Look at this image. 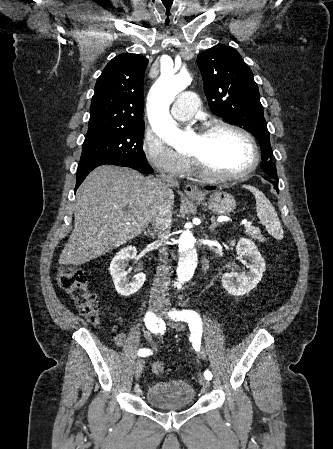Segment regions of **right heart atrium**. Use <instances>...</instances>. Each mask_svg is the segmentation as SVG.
I'll return each instance as SVG.
<instances>
[{
	"label": "right heart atrium",
	"mask_w": 333,
	"mask_h": 449,
	"mask_svg": "<svg viewBox=\"0 0 333 449\" xmlns=\"http://www.w3.org/2000/svg\"><path fill=\"white\" fill-rule=\"evenodd\" d=\"M142 151L146 160L165 175L182 177L190 168V160L187 156L174 150L152 132L144 135Z\"/></svg>",
	"instance_id": "right-heart-atrium-1"
}]
</instances>
